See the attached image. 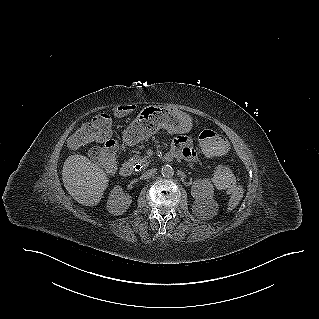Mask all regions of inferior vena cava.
Wrapping results in <instances>:
<instances>
[{
	"label": "inferior vena cava",
	"instance_id": "602c4592",
	"mask_svg": "<svg viewBox=\"0 0 319 319\" xmlns=\"http://www.w3.org/2000/svg\"><path fill=\"white\" fill-rule=\"evenodd\" d=\"M155 172H156L155 169H149V170H147L146 172H144V173L142 174L141 178H143V179H148V178H150Z\"/></svg>",
	"mask_w": 319,
	"mask_h": 319
}]
</instances>
